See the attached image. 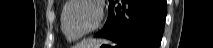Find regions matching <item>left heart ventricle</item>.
Masks as SVG:
<instances>
[{
  "label": "left heart ventricle",
  "instance_id": "left-heart-ventricle-1",
  "mask_svg": "<svg viewBox=\"0 0 213 48\" xmlns=\"http://www.w3.org/2000/svg\"><path fill=\"white\" fill-rule=\"evenodd\" d=\"M96 20V8L92 4L82 1L73 4L66 15L67 26L74 33L89 30Z\"/></svg>",
  "mask_w": 213,
  "mask_h": 48
}]
</instances>
